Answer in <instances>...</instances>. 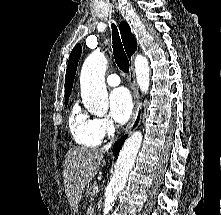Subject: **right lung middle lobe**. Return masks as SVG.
Wrapping results in <instances>:
<instances>
[{"instance_id": "obj_1", "label": "right lung middle lobe", "mask_w": 221, "mask_h": 215, "mask_svg": "<svg viewBox=\"0 0 221 215\" xmlns=\"http://www.w3.org/2000/svg\"><path fill=\"white\" fill-rule=\"evenodd\" d=\"M67 102H68V98H66V100H65V105H67Z\"/></svg>"}]
</instances>
